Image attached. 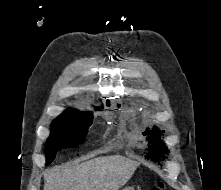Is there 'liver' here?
Here are the masks:
<instances>
[{
	"label": "liver",
	"instance_id": "1",
	"mask_svg": "<svg viewBox=\"0 0 221 190\" xmlns=\"http://www.w3.org/2000/svg\"><path fill=\"white\" fill-rule=\"evenodd\" d=\"M138 166L121 155L56 166L45 172L44 190H119Z\"/></svg>",
	"mask_w": 221,
	"mask_h": 190
}]
</instances>
